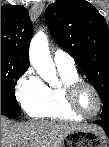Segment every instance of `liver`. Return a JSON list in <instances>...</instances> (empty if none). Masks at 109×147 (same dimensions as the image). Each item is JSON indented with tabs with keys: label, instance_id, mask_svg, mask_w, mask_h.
Segmentation results:
<instances>
[{
	"label": "liver",
	"instance_id": "1",
	"mask_svg": "<svg viewBox=\"0 0 109 147\" xmlns=\"http://www.w3.org/2000/svg\"><path fill=\"white\" fill-rule=\"evenodd\" d=\"M104 133L92 124L30 120L13 124L1 117V147H63L65 137L73 131Z\"/></svg>",
	"mask_w": 109,
	"mask_h": 147
}]
</instances>
